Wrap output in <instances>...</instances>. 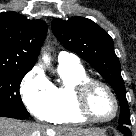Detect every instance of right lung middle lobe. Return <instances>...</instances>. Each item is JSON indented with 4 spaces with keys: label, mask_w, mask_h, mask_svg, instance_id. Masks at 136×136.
<instances>
[{
    "label": "right lung middle lobe",
    "mask_w": 136,
    "mask_h": 136,
    "mask_svg": "<svg viewBox=\"0 0 136 136\" xmlns=\"http://www.w3.org/2000/svg\"><path fill=\"white\" fill-rule=\"evenodd\" d=\"M29 71L0 69V117L15 119L29 117L19 93L20 83Z\"/></svg>",
    "instance_id": "dd1d6c3e"
}]
</instances>
